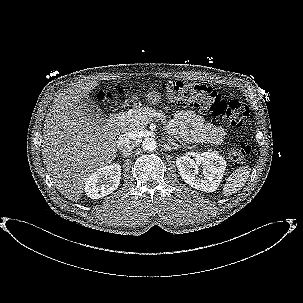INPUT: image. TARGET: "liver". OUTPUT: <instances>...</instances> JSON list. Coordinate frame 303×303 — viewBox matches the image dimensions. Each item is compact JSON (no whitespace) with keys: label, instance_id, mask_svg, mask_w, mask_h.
Here are the masks:
<instances>
[{"label":"liver","instance_id":"6515ba94","mask_svg":"<svg viewBox=\"0 0 303 303\" xmlns=\"http://www.w3.org/2000/svg\"><path fill=\"white\" fill-rule=\"evenodd\" d=\"M99 82H78L58 93L43 128V163L59 192L78 201L91 173L111 163L116 154V132L84 115L78 102Z\"/></svg>","mask_w":303,"mask_h":303}]
</instances>
